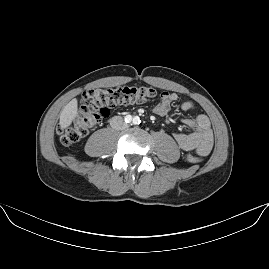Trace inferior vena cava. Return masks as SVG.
<instances>
[{"mask_svg": "<svg viewBox=\"0 0 269 269\" xmlns=\"http://www.w3.org/2000/svg\"><path fill=\"white\" fill-rule=\"evenodd\" d=\"M110 125L114 130H126L129 128V125L123 121L121 116H114L110 119Z\"/></svg>", "mask_w": 269, "mask_h": 269, "instance_id": "602c4592", "label": "inferior vena cava"}]
</instances>
